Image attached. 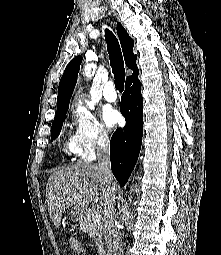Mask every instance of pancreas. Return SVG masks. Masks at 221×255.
I'll list each match as a JSON object with an SVG mask.
<instances>
[{
	"label": "pancreas",
	"instance_id": "cf45deb5",
	"mask_svg": "<svg viewBox=\"0 0 221 255\" xmlns=\"http://www.w3.org/2000/svg\"><path fill=\"white\" fill-rule=\"evenodd\" d=\"M80 228L95 239L97 246L102 245L103 224L100 211H94V208L86 210L80 221Z\"/></svg>",
	"mask_w": 221,
	"mask_h": 255
}]
</instances>
